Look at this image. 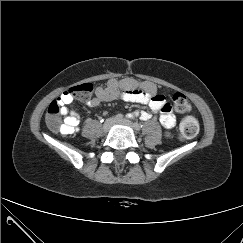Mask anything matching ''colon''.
Returning <instances> with one entry per match:
<instances>
[{
	"mask_svg": "<svg viewBox=\"0 0 243 243\" xmlns=\"http://www.w3.org/2000/svg\"><path fill=\"white\" fill-rule=\"evenodd\" d=\"M93 91V85L90 83H84L72 88L69 92L74 97L88 98ZM170 110H174L178 114H186L190 111V103L187 97L182 93H175L172 97V106L168 104ZM61 104L56 99L50 103L46 113V123L48 127L53 131L61 130L60 120ZM199 132L198 120L193 116H186L183 118L180 125V133L184 139H192Z\"/></svg>",
	"mask_w": 243,
	"mask_h": 243,
	"instance_id": "obj_1",
	"label": "colon"
}]
</instances>
